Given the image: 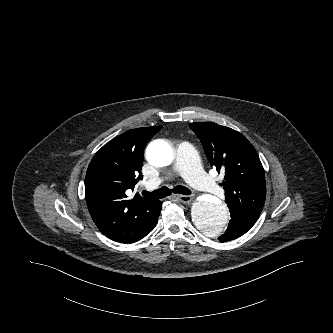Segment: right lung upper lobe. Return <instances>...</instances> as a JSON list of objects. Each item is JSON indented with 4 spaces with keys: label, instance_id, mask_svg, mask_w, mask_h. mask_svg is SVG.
I'll return each instance as SVG.
<instances>
[{
    "label": "right lung upper lobe",
    "instance_id": "cb5924a9",
    "mask_svg": "<svg viewBox=\"0 0 333 333\" xmlns=\"http://www.w3.org/2000/svg\"><path fill=\"white\" fill-rule=\"evenodd\" d=\"M161 126L131 129L105 144L91 160L85 177V197L98 229L114 240L129 223L157 200L136 195L128 199L140 174L143 151Z\"/></svg>",
    "mask_w": 333,
    "mask_h": 333
}]
</instances>
